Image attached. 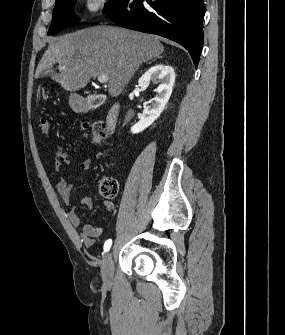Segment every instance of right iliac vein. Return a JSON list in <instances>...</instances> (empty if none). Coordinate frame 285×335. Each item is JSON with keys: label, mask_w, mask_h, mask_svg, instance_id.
<instances>
[{"label": "right iliac vein", "mask_w": 285, "mask_h": 335, "mask_svg": "<svg viewBox=\"0 0 285 335\" xmlns=\"http://www.w3.org/2000/svg\"><path fill=\"white\" fill-rule=\"evenodd\" d=\"M113 253L110 251L104 258L102 266V278L106 285H110L113 281Z\"/></svg>", "instance_id": "1"}]
</instances>
